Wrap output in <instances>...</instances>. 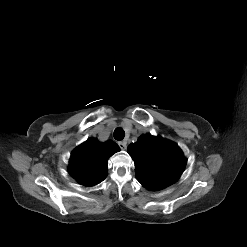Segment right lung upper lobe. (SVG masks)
Listing matches in <instances>:
<instances>
[{
  "label": "right lung upper lobe",
  "mask_w": 247,
  "mask_h": 247,
  "mask_svg": "<svg viewBox=\"0 0 247 247\" xmlns=\"http://www.w3.org/2000/svg\"><path fill=\"white\" fill-rule=\"evenodd\" d=\"M118 151L119 147L113 141L100 143L89 138L72 151L69 173L84 186L96 185L106 178L108 159Z\"/></svg>",
  "instance_id": "1"
}]
</instances>
